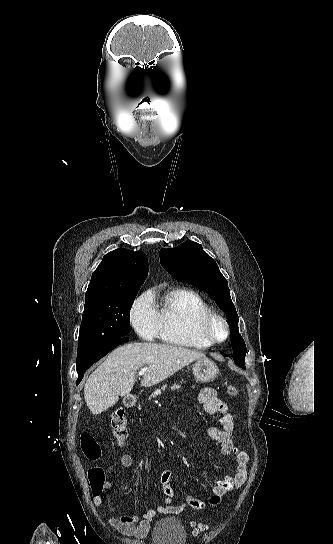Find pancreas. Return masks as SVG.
I'll return each mask as SVG.
<instances>
[{"label":"pancreas","instance_id":"obj_1","mask_svg":"<svg viewBox=\"0 0 333 544\" xmlns=\"http://www.w3.org/2000/svg\"><path fill=\"white\" fill-rule=\"evenodd\" d=\"M181 386L180 385H173L171 387V390H176V389H179ZM166 389V386H163L162 387V390H165ZM161 395V390H156L155 392H153L151 394V396L149 397V400H151V398H156L157 396Z\"/></svg>","mask_w":333,"mask_h":544}]
</instances>
